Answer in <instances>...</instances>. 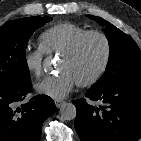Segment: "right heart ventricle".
I'll return each mask as SVG.
<instances>
[{"label": "right heart ventricle", "mask_w": 141, "mask_h": 141, "mask_svg": "<svg viewBox=\"0 0 141 141\" xmlns=\"http://www.w3.org/2000/svg\"><path fill=\"white\" fill-rule=\"evenodd\" d=\"M88 30L71 22L51 26L40 35V46L49 54L64 53L82 34Z\"/></svg>", "instance_id": "e07e8e85"}]
</instances>
